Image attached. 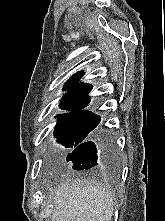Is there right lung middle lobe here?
<instances>
[{"label":"right lung middle lobe","instance_id":"right-lung-middle-lobe-1","mask_svg":"<svg viewBox=\"0 0 165 221\" xmlns=\"http://www.w3.org/2000/svg\"><path fill=\"white\" fill-rule=\"evenodd\" d=\"M55 127L57 141L68 147H76L100 122V116L94 113H67L57 116Z\"/></svg>","mask_w":165,"mask_h":221}]
</instances>
